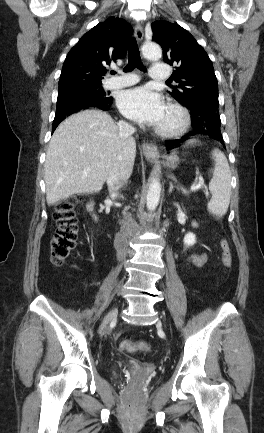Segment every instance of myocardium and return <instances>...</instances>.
I'll return each mask as SVG.
<instances>
[{
    "mask_svg": "<svg viewBox=\"0 0 264 433\" xmlns=\"http://www.w3.org/2000/svg\"><path fill=\"white\" fill-rule=\"evenodd\" d=\"M167 110L174 113L177 117L176 122L171 126H157L155 132L166 138H173L183 134L190 125V114L188 110L176 102H170Z\"/></svg>",
    "mask_w": 264,
    "mask_h": 433,
    "instance_id": "myocardium-1",
    "label": "myocardium"
}]
</instances>
